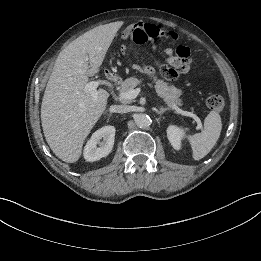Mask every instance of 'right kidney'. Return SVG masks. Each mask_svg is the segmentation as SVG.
I'll return each instance as SVG.
<instances>
[{
    "label": "right kidney",
    "instance_id": "right-kidney-1",
    "mask_svg": "<svg viewBox=\"0 0 261 261\" xmlns=\"http://www.w3.org/2000/svg\"><path fill=\"white\" fill-rule=\"evenodd\" d=\"M115 127L104 126L95 131L84 148V158L88 162H94L106 157L112 150L115 139ZM103 139L101 142L100 140ZM97 145H99L97 147Z\"/></svg>",
    "mask_w": 261,
    "mask_h": 261
}]
</instances>
